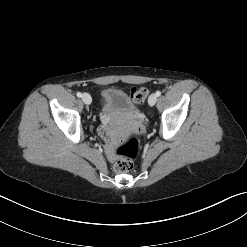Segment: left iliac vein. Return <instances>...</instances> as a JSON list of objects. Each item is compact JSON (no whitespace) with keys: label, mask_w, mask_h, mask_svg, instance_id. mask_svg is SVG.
I'll list each match as a JSON object with an SVG mask.
<instances>
[{"label":"left iliac vein","mask_w":247,"mask_h":247,"mask_svg":"<svg viewBox=\"0 0 247 247\" xmlns=\"http://www.w3.org/2000/svg\"><path fill=\"white\" fill-rule=\"evenodd\" d=\"M156 101H157V96H156V94H154V93L151 94V95L149 96V98H148V103H149V105H150V106L155 105Z\"/></svg>","instance_id":"4c4485c4"}]
</instances>
